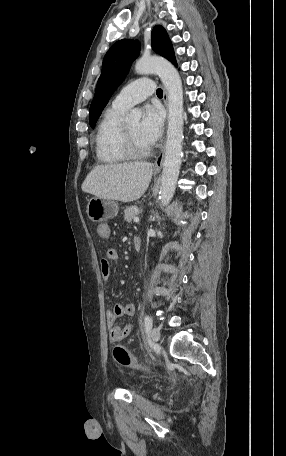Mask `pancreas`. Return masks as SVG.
<instances>
[{
	"label": "pancreas",
	"mask_w": 286,
	"mask_h": 456,
	"mask_svg": "<svg viewBox=\"0 0 286 456\" xmlns=\"http://www.w3.org/2000/svg\"><path fill=\"white\" fill-rule=\"evenodd\" d=\"M138 213L139 208L136 205L129 206L124 210V220L130 223Z\"/></svg>",
	"instance_id": "pancreas-1"
}]
</instances>
